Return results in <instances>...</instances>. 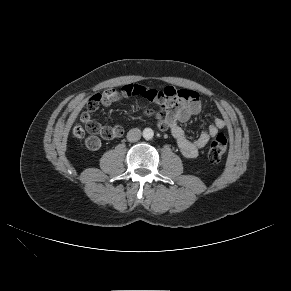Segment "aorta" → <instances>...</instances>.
Instances as JSON below:
<instances>
[{"label":"aorta","instance_id":"762f6f07","mask_svg":"<svg viewBox=\"0 0 291 291\" xmlns=\"http://www.w3.org/2000/svg\"><path fill=\"white\" fill-rule=\"evenodd\" d=\"M154 136V131L151 129V128H145L143 130V137L146 139V140H149V139H152Z\"/></svg>","mask_w":291,"mask_h":291}]
</instances>
